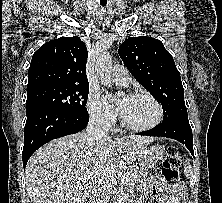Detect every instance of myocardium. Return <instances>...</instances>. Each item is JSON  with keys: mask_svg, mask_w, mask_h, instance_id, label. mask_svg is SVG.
<instances>
[{"mask_svg": "<svg viewBox=\"0 0 222 203\" xmlns=\"http://www.w3.org/2000/svg\"><path fill=\"white\" fill-rule=\"evenodd\" d=\"M126 96L148 98L156 106L157 111H158V115H157V118L153 122H151L150 124L143 125V126H137V125H133V124L129 123L123 117L121 112L118 111L120 123L124 128L132 130V131H136V132H142V131H147V130L153 129L162 122V120L164 118L163 107H162L161 103L152 94L145 92V91H134V92L127 93Z\"/></svg>", "mask_w": 222, "mask_h": 203, "instance_id": "myocardium-1", "label": "myocardium"}]
</instances>
